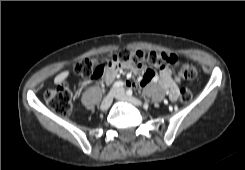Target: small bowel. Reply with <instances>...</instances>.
Returning <instances> with one entry per match:
<instances>
[{
    "label": "small bowel",
    "instance_id": "obj_1",
    "mask_svg": "<svg viewBox=\"0 0 245 170\" xmlns=\"http://www.w3.org/2000/svg\"><path fill=\"white\" fill-rule=\"evenodd\" d=\"M121 73V68L112 67L106 71L104 80L107 83H111ZM153 80L154 76L149 72H145L140 80V84L141 86H146ZM159 82L161 87L168 93L169 100L171 102H176L180 95V81L176 76L175 70L171 67H165L162 69L159 75ZM125 85L131 87L133 86V82L130 79H127Z\"/></svg>",
    "mask_w": 245,
    "mask_h": 170
}]
</instances>
